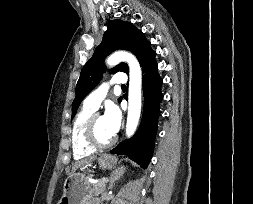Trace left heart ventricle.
<instances>
[{
	"instance_id": "left-heart-ventricle-1",
	"label": "left heart ventricle",
	"mask_w": 253,
	"mask_h": 204,
	"mask_svg": "<svg viewBox=\"0 0 253 204\" xmlns=\"http://www.w3.org/2000/svg\"><path fill=\"white\" fill-rule=\"evenodd\" d=\"M96 135L102 142H105L114 136V134L108 129L104 116L102 115L98 116L96 120Z\"/></svg>"
}]
</instances>
